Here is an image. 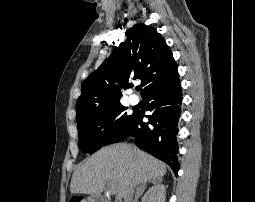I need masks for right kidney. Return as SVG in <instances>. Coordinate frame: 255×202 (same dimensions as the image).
Returning <instances> with one entry per match:
<instances>
[{"mask_svg":"<svg viewBox=\"0 0 255 202\" xmlns=\"http://www.w3.org/2000/svg\"><path fill=\"white\" fill-rule=\"evenodd\" d=\"M166 187L158 183L150 188L144 195L142 202H165Z\"/></svg>","mask_w":255,"mask_h":202,"instance_id":"1","label":"right kidney"}]
</instances>
